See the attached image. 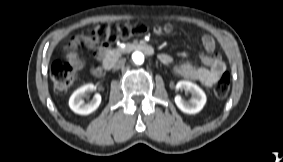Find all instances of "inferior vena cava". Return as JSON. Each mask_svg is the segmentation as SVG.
Segmentation results:
<instances>
[{"mask_svg":"<svg viewBox=\"0 0 283 162\" xmlns=\"http://www.w3.org/2000/svg\"><path fill=\"white\" fill-rule=\"evenodd\" d=\"M124 64H125V60L121 59L114 64L113 69L118 70L119 68L123 67Z\"/></svg>","mask_w":283,"mask_h":162,"instance_id":"obj_1","label":"inferior vena cava"}]
</instances>
